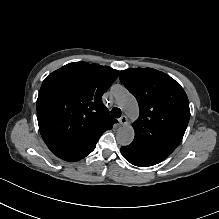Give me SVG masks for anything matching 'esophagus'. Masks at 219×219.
<instances>
[{"label": "esophagus", "mask_w": 219, "mask_h": 219, "mask_svg": "<svg viewBox=\"0 0 219 219\" xmlns=\"http://www.w3.org/2000/svg\"><path fill=\"white\" fill-rule=\"evenodd\" d=\"M118 122L120 125H125L127 124V117L125 115H122L119 119H118Z\"/></svg>", "instance_id": "1"}]
</instances>
